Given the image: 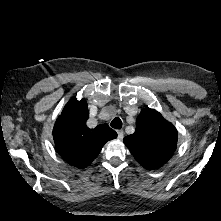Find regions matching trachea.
I'll return each mask as SVG.
<instances>
[{
	"label": "trachea",
	"instance_id": "3493384b",
	"mask_svg": "<svg viewBox=\"0 0 221 221\" xmlns=\"http://www.w3.org/2000/svg\"><path fill=\"white\" fill-rule=\"evenodd\" d=\"M110 126H111L112 128H115V129H121V128H122V121H121V119H120L119 117H115V118L112 120Z\"/></svg>",
	"mask_w": 221,
	"mask_h": 221
}]
</instances>
